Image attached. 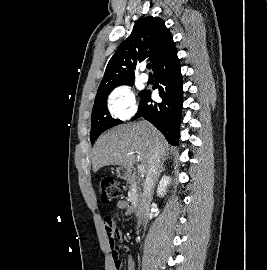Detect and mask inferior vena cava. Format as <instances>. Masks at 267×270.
Listing matches in <instances>:
<instances>
[{
	"label": "inferior vena cava",
	"instance_id": "obj_1",
	"mask_svg": "<svg viewBox=\"0 0 267 270\" xmlns=\"http://www.w3.org/2000/svg\"><path fill=\"white\" fill-rule=\"evenodd\" d=\"M146 123V122H143ZM159 167H160V156L158 148L153 150V154L150 158L149 165L146 172V179L143 185V194L142 200L140 205V211L143 215V222L144 225L148 222V214L150 203L153 197V191L155 187V183L158 181L159 178Z\"/></svg>",
	"mask_w": 267,
	"mask_h": 270
}]
</instances>
